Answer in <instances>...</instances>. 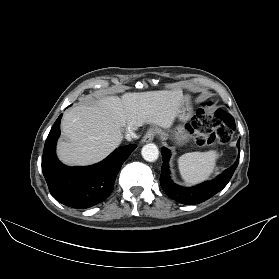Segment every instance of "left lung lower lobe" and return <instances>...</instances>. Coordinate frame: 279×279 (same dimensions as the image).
<instances>
[{
  "instance_id": "0a47b994",
  "label": "left lung lower lobe",
  "mask_w": 279,
  "mask_h": 279,
  "mask_svg": "<svg viewBox=\"0 0 279 279\" xmlns=\"http://www.w3.org/2000/svg\"><path fill=\"white\" fill-rule=\"evenodd\" d=\"M240 141L237 142V147L240 149ZM163 164L161 167L160 184L165 193L172 199L182 204H198L209 199L217 192L221 191L231 179L238 163L239 157L236 162L217 178L204 182L194 187H182L176 185L170 178V171L168 167V160L170 157V151L163 147L162 149Z\"/></svg>"
}]
</instances>
